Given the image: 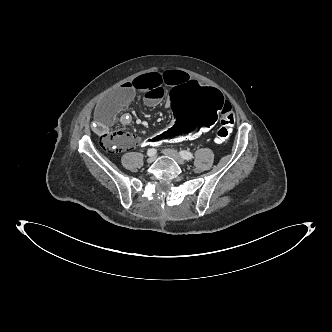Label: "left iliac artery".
Wrapping results in <instances>:
<instances>
[{
	"label": "left iliac artery",
	"instance_id": "44dca946",
	"mask_svg": "<svg viewBox=\"0 0 332 332\" xmlns=\"http://www.w3.org/2000/svg\"><path fill=\"white\" fill-rule=\"evenodd\" d=\"M180 156L185 160H192L193 154L189 151L182 150L180 151Z\"/></svg>",
	"mask_w": 332,
	"mask_h": 332
}]
</instances>
